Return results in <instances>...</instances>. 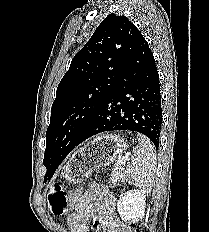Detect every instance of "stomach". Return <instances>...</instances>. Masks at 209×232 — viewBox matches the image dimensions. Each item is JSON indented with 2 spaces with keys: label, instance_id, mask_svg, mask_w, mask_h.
Wrapping results in <instances>:
<instances>
[{
  "label": "stomach",
  "instance_id": "stomach-1",
  "mask_svg": "<svg viewBox=\"0 0 209 232\" xmlns=\"http://www.w3.org/2000/svg\"><path fill=\"white\" fill-rule=\"evenodd\" d=\"M128 147L126 140L117 135L98 136L70 157L63 169L64 177L72 183H81L94 170L110 165Z\"/></svg>",
  "mask_w": 209,
  "mask_h": 232
}]
</instances>
